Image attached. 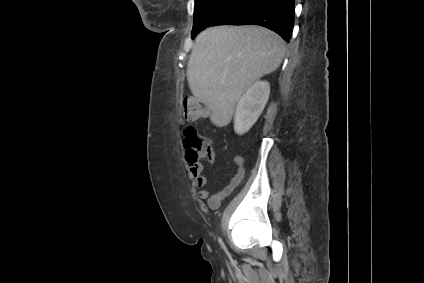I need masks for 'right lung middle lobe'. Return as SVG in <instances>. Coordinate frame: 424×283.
<instances>
[{"label":"right lung middle lobe","instance_id":"dd1d6c3e","mask_svg":"<svg viewBox=\"0 0 424 283\" xmlns=\"http://www.w3.org/2000/svg\"><path fill=\"white\" fill-rule=\"evenodd\" d=\"M228 0H195L192 34L198 32Z\"/></svg>","mask_w":424,"mask_h":283}]
</instances>
